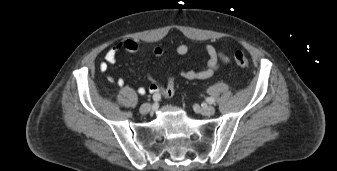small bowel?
<instances>
[{
  "label": "small bowel",
  "instance_id": "c3829d8e",
  "mask_svg": "<svg viewBox=\"0 0 337 171\" xmlns=\"http://www.w3.org/2000/svg\"><path fill=\"white\" fill-rule=\"evenodd\" d=\"M139 50V44L133 39H125L118 43L116 46L110 48L104 56V61L99 65L102 72H106L110 65H113L117 62L120 53H135ZM188 46L181 44L177 47L176 52L178 55H185L188 53ZM204 53L208 56V60L204 66L198 70H182L180 75L186 80H206L214 76L221 64L228 63L229 57L227 54L221 50H218L213 45H206L203 48ZM163 54V49L160 47H155L153 49V55L155 57H160ZM149 86L148 90L152 94L163 95L166 98H170L174 95L175 90V77L169 76L167 79V85L163 87L152 75H148ZM107 80L110 83H115L119 87H125L126 83L123 78H115L113 75L108 74L106 76ZM139 94H144L146 89L144 87L138 88Z\"/></svg>",
  "mask_w": 337,
  "mask_h": 171
}]
</instances>
